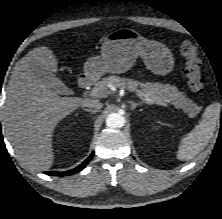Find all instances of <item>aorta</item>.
Wrapping results in <instances>:
<instances>
[{"label":"aorta","instance_id":"1","mask_svg":"<svg viewBox=\"0 0 222 219\" xmlns=\"http://www.w3.org/2000/svg\"><path fill=\"white\" fill-rule=\"evenodd\" d=\"M106 125L110 128H121L125 125V118L120 113H111L106 118Z\"/></svg>","mask_w":222,"mask_h":219}]
</instances>
